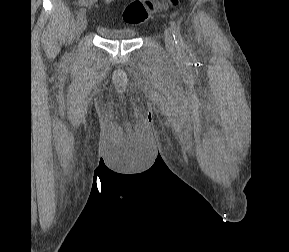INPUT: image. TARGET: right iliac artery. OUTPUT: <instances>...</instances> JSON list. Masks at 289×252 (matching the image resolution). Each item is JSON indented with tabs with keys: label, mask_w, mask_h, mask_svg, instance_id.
Returning a JSON list of instances; mask_svg holds the SVG:
<instances>
[{
	"label": "right iliac artery",
	"mask_w": 289,
	"mask_h": 252,
	"mask_svg": "<svg viewBox=\"0 0 289 252\" xmlns=\"http://www.w3.org/2000/svg\"><path fill=\"white\" fill-rule=\"evenodd\" d=\"M86 14V10L84 8H81L77 13V18H81Z\"/></svg>",
	"instance_id": "right-iliac-artery-1"
}]
</instances>
